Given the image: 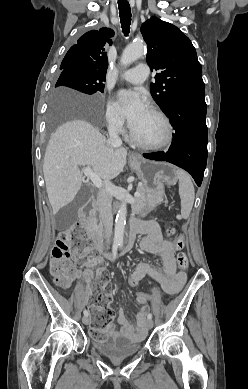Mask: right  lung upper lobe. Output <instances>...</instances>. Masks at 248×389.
I'll use <instances>...</instances> for the list:
<instances>
[{"label": "right lung upper lobe", "instance_id": "1", "mask_svg": "<svg viewBox=\"0 0 248 389\" xmlns=\"http://www.w3.org/2000/svg\"><path fill=\"white\" fill-rule=\"evenodd\" d=\"M114 31L108 28L92 30L81 36L65 55L60 68H77L106 78L108 59L105 51L111 45Z\"/></svg>", "mask_w": 248, "mask_h": 389}]
</instances>
